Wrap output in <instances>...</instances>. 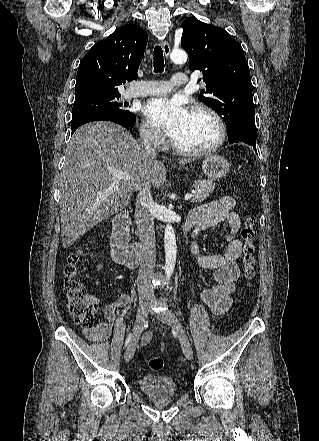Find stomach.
<instances>
[{
  "instance_id": "0dacf381",
  "label": "stomach",
  "mask_w": 319,
  "mask_h": 441,
  "mask_svg": "<svg viewBox=\"0 0 319 441\" xmlns=\"http://www.w3.org/2000/svg\"><path fill=\"white\" fill-rule=\"evenodd\" d=\"M202 169L211 178H221L229 171V163L219 155H210L203 160Z\"/></svg>"
}]
</instances>
